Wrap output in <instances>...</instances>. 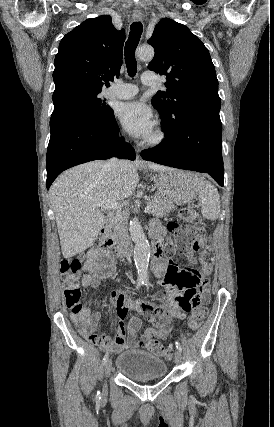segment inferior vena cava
Here are the masks:
<instances>
[{
	"mask_svg": "<svg viewBox=\"0 0 274 427\" xmlns=\"http://www.w3.org/2000/svg\"><path fill=\"white\" fill-rule=\"evenodd\" d=\"M105 168H109V170H114V172H120L119 160H117V158H111V160H108V162H106Z\"/></svg>",
	"mask_w": 274,
	"mask_h": 427,
	"instance_id": "obj_1",
	"label": "inferior vena cava"
}]
</instances>
